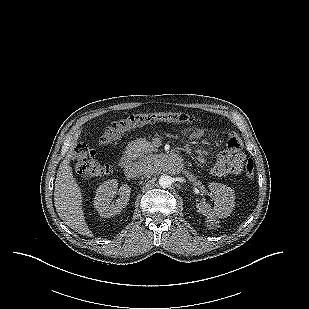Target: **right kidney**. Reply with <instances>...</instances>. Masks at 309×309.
Returning <instances> with one entry per match:
<instances>
[{"mask_svg": "<svg viewBox=\"0 0 309 309\" xmlns=\"http://www.w3.org/2000/svg\"><path fill=\"white\" fill-rule=\"evenodd\" d=\"M118 190V182L116 179L108 180L102 183L94 198V207L102 217H111L117 215L124 209L129 201L131 188L129 185H122L119 189L120 198L112 203V199Z\"/></svg>", "mask_w": 309, "mask_h": 309, "instance_id": "right-kidney-1", "label": "right kidney"}]
</instances>
